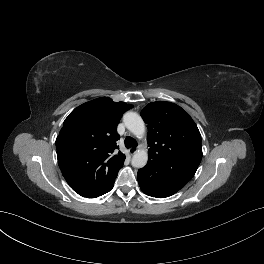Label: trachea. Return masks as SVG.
Segmentation results:
<instances>
[{
	"mask_svg": "<svg viewBox=\"0 0 264 264\" xmlns=\"http://www.w3.org/2000/svg\"><path fill=\"white\" fill-rule=\"evenodd\" d=\"M124 143L127 148L137 147V142L131 137L125 138Z\"/></svg>",
	"mask_w": 264,
	"mask_h": 264,
	"instance_id": "obj_1",
	"label": "trachea"
}]
</instances>
